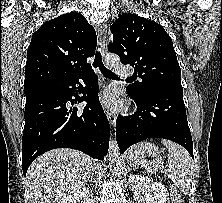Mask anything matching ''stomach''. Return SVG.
<instances>
[{
  "label": "stomach",
  "instance_id": "obj_1",
  "mask_svg": "<svg viewBox=\"0 0 222 203\" xmlns=\"http://www.w3.org/2000/svg\"><path fill=\"white\" fill-rule=\"evenodd\" d=\"M159 148L151 142H141L132 146L129 150V158L142 161L147 157H155L159 154Z\"/></svg>",
  "mask_w": 222,
  "mask_h": 203
}]
</instances>
